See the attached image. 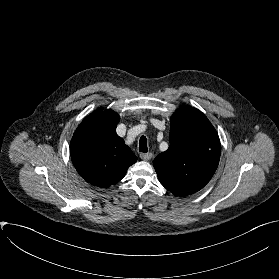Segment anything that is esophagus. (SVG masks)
<instances>
[{
  "label": "esophagus",
  "mask_w": 279,
  "mask_h": 279,
  "mask_svg": "<svg viewBox=\"0 0 279 279\" xmlns=\"http://www.w3.org/2000/svg\"><path fill=\"white\" fill-rule=\"evenodd\" d=\"M140 158L142 160L148 161L152 158V153H141Z\"/></svg>",
  "instance_id": "obj_1"
}]
</instances>
